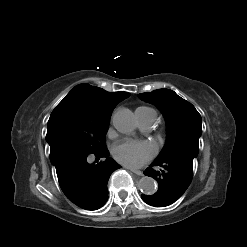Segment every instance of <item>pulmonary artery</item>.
Instances as JSON below:
<instances>
[{
	"label": "pulmonary artery",
	"instance_id": "obj_1",
	"mask_svg": "<svg viewBox=\"0 0 247 247\" xmlns=\"http://www.w3.org/2000/svg\"><path fill=\"white\" fill-rule=\"evenodd\" d=\"M136 114L139 120L140 127L143 129L151 128L156 119L155 116H141L138 112H136Z\"/></svg>",
	"mask_w": 247,
	"mask_h": 247
}]
</instances>
